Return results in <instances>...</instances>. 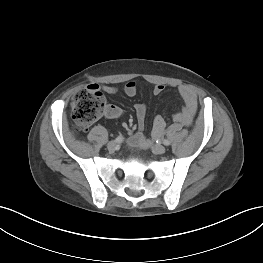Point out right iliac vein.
Segmentation results:
<instances>
[{
  "label": "right iliac vein",
  "mask_w": 263,
  "mask_h": 263,
  "mask_svg": "<svg viewBox=\"0 0 263 263\" xmlns=\"http://www.w3.org/2000/svg\"><path fill=\"white\" fill-rule=\"evenodd\" d=\"M117 143L115 141H110L107 144V148L109 151H114L116 149Z\"/></svg>",
  "instance_id": "63e3f726"
}]
</instances>
